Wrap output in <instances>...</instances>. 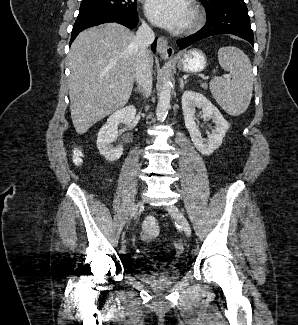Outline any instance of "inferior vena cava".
I'll return each instance as SVG.
<instances>
[{
  "instance_id": "inferior-vena-cava-1",
  "label": "inferior vena cava",
  "mask_w": 298,
  "mask_h": 325,
  "mask_svg": "<svg viewBox=\"0 0 298 325\" xmlns=\"http://www.w3.org/2000/svg\"><path fill=\"white\" fill-rule=\"evenodd\" d=\"M138 54L136 60L135 80L139 84V88L143 90L144 96H151L153 76L152 62L150 60L152 54L149 48L150 44L155 40V32L146 22H142L137 32Z\"/></svg>"
}]
</instances>
